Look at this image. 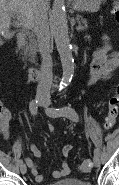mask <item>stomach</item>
<instances>
[{"label": "stomach", "mask_w": 119, "mask_h": 185, "mask_svg": "<svg viewBox=\"0 0 119 185\" xmlns=\"http://www.w3.org/2000/svg\"><path fill=\"white\" fill-rule=\"evenodd\" d=\"M104 0H73L76 11L96 12Z\"/></svg>", "instance_id": "stomach-1"}]
</instances>
